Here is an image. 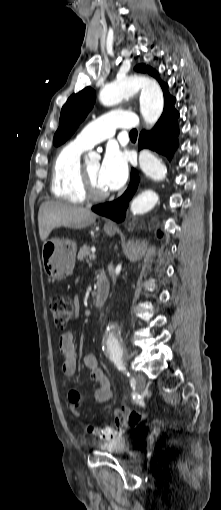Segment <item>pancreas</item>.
<instances>
[{
  "label": "pancreas",
  "instance_id": "obj_1",
  "mask_svg": "<svg viewBox=\"0 0 221 510\" xmlns=\"http://www.w3.org/2000/svg\"><path fill=\"white\" fill-rule=\"evenodd\" d=\"M91 253H90V247L87 246V245H84L83 247L80 248L79 252H78V255H77V258L78 260L80 261H84L88 258V256H90Z\"/></svg>",
  "mask_w": 221,
  "mask_h": 510
}]
</instances>
